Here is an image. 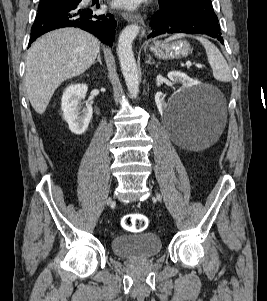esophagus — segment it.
Listing matches in <instances>:
<instances>
[{"mask_svg": "<svg viewBox=\"0 0 267 301\" xmlns=\"http://www.w3.org/2000/svg\"><path fill=\"white\" fill-rule=\"evenodd\" d=\"M122 16L128 22L139 23L142 27L141 36H143L145 34L144 21L139 14H132V13L124 12V13H122Z\"/></svg>", "mask_w": 267, "mask_h": 301, "instance_id": "1", "label": "esophagus"}]
</instances>
